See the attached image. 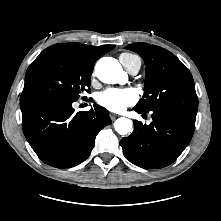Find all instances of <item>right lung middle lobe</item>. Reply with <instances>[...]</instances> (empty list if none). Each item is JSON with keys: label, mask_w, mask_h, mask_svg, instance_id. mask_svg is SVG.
<instances>
[{"label": "right lung middle lobe", "mask_w": 221, "mask_h": 221, "mask_svg": "<svg viewBox=\"0 0 221 221\" xmlns=\"http://www.w3.org/2000/svg\"><path fill=\"white\" fill-rule=\"evenodd\" d=\"M92 71V65L71 54H40L27 69L21 99L51 96L74 102L83 91L90 92Z\"/></svg>", "instance_id": "dd1d6c3e"}]
</instances>
